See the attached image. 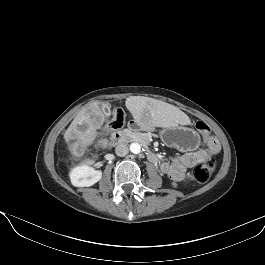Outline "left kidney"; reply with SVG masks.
<instances>
[{
  "label": "left kidney",
  "mask_w": 265,
  "mask_h": 265,
  "mask_svg": "<svg viewBox=\"0 0 265 265\" xmlns=\"http://www.w3.org/2000/svg\"><path fill=\"white\" fill-rule=\"evenodd\" d=\"M173 186H176V183H173Z\"/></svg>",
  "instance_id": "left-kidney-1"
}]
</instances>
